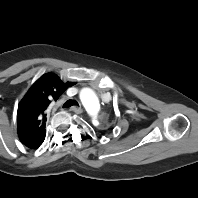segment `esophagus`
Here are the masks:
<instances>
[{
  "mask_svg": "<svg viewBox=\"0 0 198 198\" xmlns=\"http://www.w3.org/2000/svg\"><path fill=\"white\" fill-rule=\"evenodd\" d=\"M70 111H73L77 114H80V113L83 112V109L81 108V106H73V107L70 108Z\"/></svg>",
  "mask_w": 198,
  "mask_h": 198,
  "instance_id": "obj_1",
  "label": "esophagus"
}]
</instances>
